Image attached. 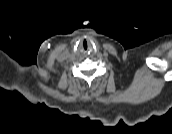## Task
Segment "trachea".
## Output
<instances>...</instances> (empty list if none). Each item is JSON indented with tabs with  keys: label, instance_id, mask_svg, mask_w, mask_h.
I'll return each instance as SVG.
<instances>
[{
	"label": "trachea",
	"instance_id": "1",
	"mask_svg": "<svg viewBox=\"0 0 172 134\" xmlns=\"http://www.w3.org/2000/svg\"><path fill=\"white\" fill-rule=\"evenodd\" d=\"M84 44L87 46V42H86V40H85Z\"/></svg>",
	"mask_w": 172,
	"mask_h": 134
}]
</instances>
